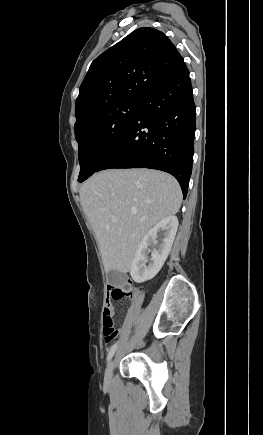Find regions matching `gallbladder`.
I'll return each mask as SVG.
<instances>
[{
  "label": "gallbladder",
  "instance_id": "bac80fb5",
  "mask_svg": "<svg viewBox=\"0 0 263 435\" xmlns=\"http://www.w3.org/2000/svg\"><path fill=\"white\" fill-rule=\"evenodd\" d=\"M107 280L113 286H122L126 281V275L117 270H111L108 272Z\"/></svg>",
  "mask_w": 263,
  "mask_h": 435
}]
</instances>
